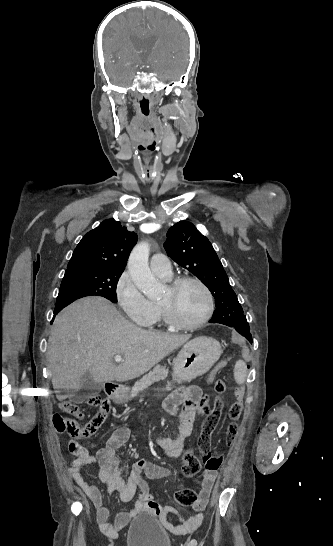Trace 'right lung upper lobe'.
Returning a JSON list of instances; mask_svg holds the SVG:
<instances>
[{
	"label": "right lung upper lobe",
	"instance_id": "right-lung-upper-lobe-1",
	"mask_svg": "<svg viewBox=\"0 0 333 546\" xmlns=\"http://www.w3.org/2000/svg\"><path fill=\"white\" fill-rule=\"evenodd\" d=\"M137 242L135 232L113 219L103 221L88 232L75 248L65 274L97 270H123Z\"/></svg>",
	"mask_w": 333,
	"mask_h": 546
}]
</instances>
